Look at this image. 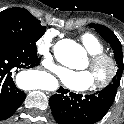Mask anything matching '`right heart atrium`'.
<instances>
[{
  "mask_svg": "<svg viewBox=\"0 0 124 124\" xmlns=\"http://www.w3.org/2000/svg\"><path fill=\"white\" fill-rule=\"evenodd\" d=\"M55 33L52 31L45 32L37 41V52L42 57L45 67L53 70L55 68L53 54Z\"/></svg>",
  "mask_w": 124,
  "mask_h": 124,
  "instance_id": "1",
  "label": "right heart atrium"
}]
</instances>
